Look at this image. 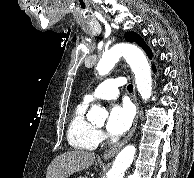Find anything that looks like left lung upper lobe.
Segmentation results:
<instances>
[{
	"label": "left lung upper lobe",
	"instance_id": "1",
	"mask_svg": "<svg viewBox=\"0 0 194 178\" xmlns=\"http://www.w3.org/2000/svg\"><path fill=\"white\" fill-rule=\"evenodd\" d=\"M124 38L127 41H129V42H136V43H138L143 48V50L147 53V55L150 58L152 57L151 50L146 45L144 40L137 33H135V32H126L125 35H124Z\"/></svg>",
	"mask_w": 194,
	"mask_h": 178
}]
</instances>
